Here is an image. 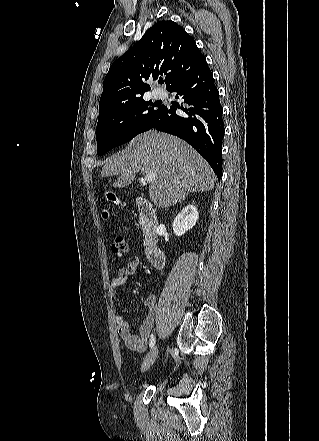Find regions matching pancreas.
<instances>
[{
  "label": "pancreas",
  "instance_id": "1",
  "mask_svg": "<svg viewBox=\"0 0 319 441\" xmlns=\"http://www.w3.org/2000/svg\"><path fill=\"white\" fill-rule=\"evenodd\" d=\"M140 224L143 226V223H142V222H140ZM142 230H143V235H145L146 233H145V229H144V227H142Z\"/></svg>",
  "mask_w": 319,
  "mask_h": 441
}]
</instances>
